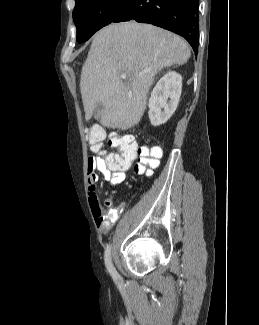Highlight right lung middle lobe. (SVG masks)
<instances>
[{
  "instance_id": "dd1d6c3e",
  "label": "right lung middle lobe",
  "mask_w": 259,
  "mask_h": 325,
  "mask_svg": "<svg viewBox=\"0 0 259 325\" xmlns=\"http://www.w3.org/2000/svg\"><path fill=\"white\" fill-rule=\"evenodd\" d=\"M73 20L79 43L88 40L100 28L110 24L126 0H75Z\"/></svg>"
}]
</instances>
